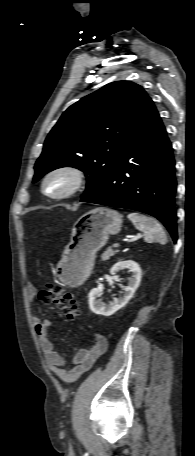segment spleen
Here are the masks:
<instances>
[{
	"label": "spleen",
	"mask_w": 195,
	"mask_h": 456,
	"mask_svg": "<svg viewBox=\"0 0 195 456\" xmlns=\"http://www.w3.org/2000/svg\"><path fill=\"white\" fill-rule=\"evenodd\" d=\"M128 219L134 224L136 229L144 234L146 241L166 243V234L156 219L135 212L128 214Z\"/></svg>",
	"instance_id": "obj_1"
}]
</instances>
